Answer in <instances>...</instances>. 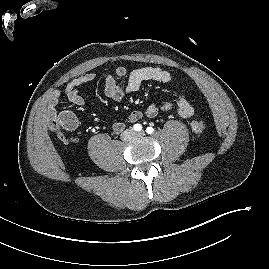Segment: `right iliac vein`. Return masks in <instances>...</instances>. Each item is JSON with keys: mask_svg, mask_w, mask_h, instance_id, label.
<instances>
[{"mask_svg": "<svg viewBox=\"0 0 269 269\" xmlns=\"http://www.w3.org/2000/svg\"><path fill=\"white\" fill-rule=\"evenodd\" d=\"M131 136V132H126L125 134H124V138H129Z\"/></svg>", "mask_w": 269, "mask_h": 269, "instance_id": "obj_1", "label": "right iliac vein"}]
</instances>
